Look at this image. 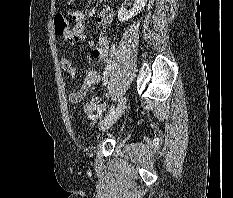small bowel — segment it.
<instances>
[{
    "mask_svg": "<svg viewBox=\"0 0 233 198\" xmlns=\"http://www.w3.org/2000/svg\"><path fill=\"white\" fill-rule=\"evenodd\" d=\"M112 19V9L109 7H105L97 15L96 23L101 29H104L112 22ZM85 21L86 13L84 10H78L73 14V26L68 28L66 32L62 35V39L65 44L74 45L85 39ZM92 57L96 61L101 63L110 62L111 44L109 38L104 33H102L97 45L92 50ZM61 66L62 69L69 75V77H76L77 69L68 57L65 56L61 59ZM99 82V73L95 70L89 71L85 75L81 87L77 91L69 94V101L74 104L81 102L89 89Z\"/></svg>",
    "mask_w": 233,
    "mask_h": 198,
    "instance_id": "obj_1",
    "label": "small bowel"
}]
</instances>
